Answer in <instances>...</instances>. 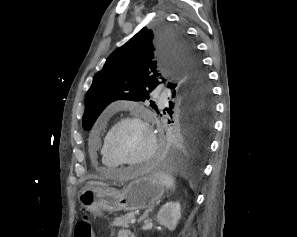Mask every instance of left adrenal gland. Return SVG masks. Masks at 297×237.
<instances>
[{
    "label": "left adrenal gland",
    "mask_w": 297,
    "mask_h": 237,
    "mask_svg": "<svg viewBox=\"0 0 297 237\" xmlns=\"http://www.w3.org/2000/svg\"><path fill=\"white\" fill-rule=\"evenodd\" d=\"M152 209H153V207L147 209V210L144 212V214L139 218L138 223L142 222V221L148 216V213H149L150 211H152Z\"/></svg>",
    "instance_id": "obj_1"
}]
</instances>
